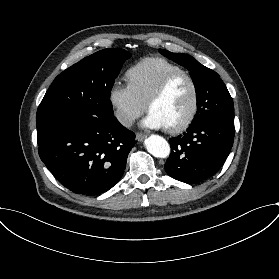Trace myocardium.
Returning a JSON list of instances; mask_svg holds the SVG:
<instances>
[{"instance_id": "obj_1", "label": "myocardium", "mask_w": 279, "mask_h": 279, "mask_svg": "<svg viewBox=\"0 0 279 279\" xmlns=\"http://www.w3.org/2000/svg\"><path fill=\"white\" fill-rule=\"evenodd\" d=\"M181 77H186L192 85L193 88V102L191 110L188 116L178 125L166 127L167 131L170 133H180L193 123L195 120L200 103V91L199 86L195 80V78L187 71H178L172 73L164 78V80L159 84V86L152 92L150 97L147 100V109L150 111L151 105L159 100L164 94L168 91V89L172 86L174 82H176Z\"/></svg>"}]
</instances>
